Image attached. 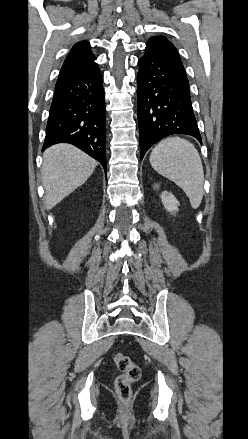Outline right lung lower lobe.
Instances as JSON below:
<instances>
[{
	"label": "right lung lower lobe",
	"mask_w": 248,
	"mask_h": 439,
	"mask_svg": "<svg viewBox=\"0 0 248 439\" xmlns=\"http://www.w3.org/2000/svg\"><path fill=\"white\" fill-rule=\"evenodd\" d=\"M97 64L56 83L43 151L70 143L99 161L106 171V109Z\"/></svg>",
	"instance_id": "1"
}]
</instances>
